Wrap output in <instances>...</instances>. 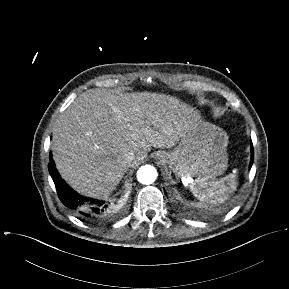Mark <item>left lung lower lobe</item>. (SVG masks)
<instances>
[{
    "mask_svg": "<svg viewBox=\"0 0 289 289\" xmlns=\"http://www.w3.org/2000/svg\"><path fill=\"white\" fill-rule=\"evenodd\" d=\"M253 158H254V150H253V147L251 148V162H250V168L253 164Z\"/></svg>",
    "mask_w": 289,
    "mask_h": 289,
    "instance_id": "obj_1",
    "label": "left lung lower lobe"
}]
</instances>
